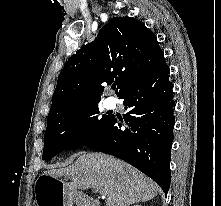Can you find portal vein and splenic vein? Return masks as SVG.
<instances>
[{
	"instance_id": "18ae733b",
	"label": "portal vein and splenic vein",
	"mask_w": 221,
	"mask_h": 206,
	"mask_svg": "<svg viewBox=\"0 0 221 206\" xmlns=\"http://www.w3.org/2000/svg\"><path fill=\"white\" fill-rule=\"evenodd\" d=\"M94 191L95 192H97V191H99V190H97V189H94ZM102 195H104V193L103 192H101V191H99Z\"/></svg>"
}]
</instances>
